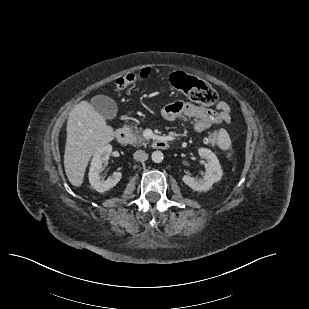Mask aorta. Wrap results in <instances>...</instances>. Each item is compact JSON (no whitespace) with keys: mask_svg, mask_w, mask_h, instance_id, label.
<instances>
[{"mask_svg":"<svg viewBox=\"0 0 309 309\" xmlns=\"http://www.w3.org/2000/svg\"><path fill=\"white\" fill-rule=\"evenodd\" d=\"M152 161L155 163H161L163 161V153L161 151H154L152 153Z\"/></svg>","mask_w":309,"mask_h":309,"instance_id":"obj_1","label":"aorta"}]
</instances>
